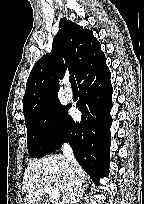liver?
<instances>
[{"mask_svg": "<svg viewBox=\"0 0 144 204\" xmlns=\"http://www.w3.org/2000/svg\"><path fill=\"white\" fill-rule=\"evenodd\" d=\"M86 176L85 171L80 167L78 177L82 183L85 182ZM47 184L58 188L62 198L67 194L69 182L65 156H48L28 164L22 186V192L27 193L25 204H37L45 195L44 186Z\"/></svg>", "mask_w": 144, "mask_h": 204, "instance_id": "1", "label": "liver"}]
</instances>
